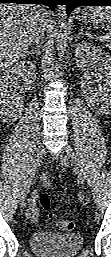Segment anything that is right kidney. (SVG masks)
<instances>
[{"mask_svg":"<svg viewBox=\"0 0 111 257\" xmlns=\"http://www.w3.org/2000/svg\"><path fill=\"white\" fill-rule=\"evenodd\" d=\"M35 64L29 61H21L14 66L3 69L1 74L0 103L1 114L6 120L16 119L17 113L22 107V97L15 93L12 87L17 85L21 80L24 85L21 90H29L36 77Z\"/></svg>","mask_w":111,"mask_h":257,"instance_id":"right-kidney-1","label":"right kidney"}]
</instances>
